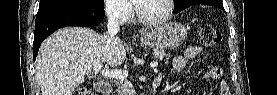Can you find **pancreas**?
<instances>
[{
    "mask_svg": "<svg viewBox=\"0 0 277 95\" xmlns=\"http://www.w3.org/2000/svg\"><path fill=\"white\" fill-rule=\"evenodd\" d=\"M167 56L164 50L156 49L153 51V57L155 60H163ZM133 88L130 82L124 81L118 84V93L119 95H132Z\"/></svg>",
    "mask_w": 277,
    "mask_h": 95,
    "instance_id": "obj_1",
    "label": "pancreas"
}]
</instances>
